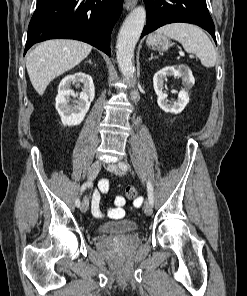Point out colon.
I'll use <instances>...</instances> for the list:
<instances>
[{
    "label": "colon",
    "mask_w": 247,
    "mask_h": 296,
    "mask_svg": "<svg viewBox=\"0 0 247 296\" xmlns=\"http://www.w3.org/2000/svg\"><path fill=\"white\" fill-rule=\"evenodd\" d=\"M136 194H137V191L134 187H128L125 191V195H124V200H132L136 197ZM117 204H120L121 201L120 200H117L116 201ZM122 216V213L121 212H116L115 213V217L119 218Z\"/></svg>",
    "instance_id": "1"
}]
</instances>
